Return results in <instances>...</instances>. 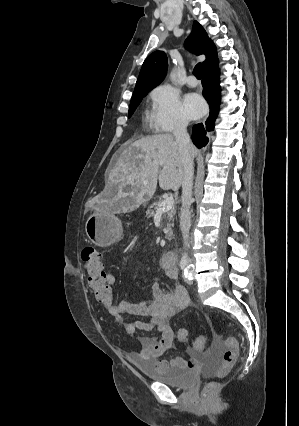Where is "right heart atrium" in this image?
<instances>
[{
    "instance_id": "right-heart-atrium-1",
    "label": "right heart atrium",
    "mask_w": 299,
    "mask_h": 426,
    "mask_svg": "<svg viewBox=\"0 0 299 426\" xmlns=\"http://www.w3.org/2000/svg\"><path fill=\"white\" fill-rule=\"evenodd\" d=\"M152 110L150 120L159 132H173L188 123L179 94L169 85H160L151 94Z\"/></svg>"
}]
</instances>
